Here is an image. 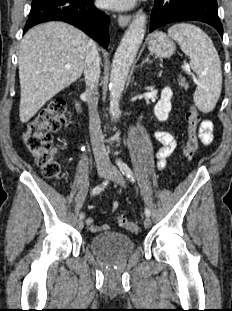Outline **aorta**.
I'll return each instance as SVG.
<instances>
[{"label": "aorta", "mask_w": 232, "mask_h": 311, "mask_svg": "<svg viewBox=\"0 0 232 311\" xmlns=\"http://www.w3.org/2000/svg\"><path fill=\"white\" fill-rule=\"evenodd\" d=\"M146 30V15L139 13L133 19L117 48L110 73V107L109 113H119L121 98L130 66L142 43Z\"/></svg>", "instance_id": "1"}]
</instances>
